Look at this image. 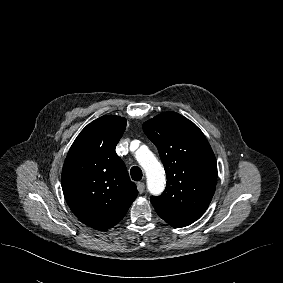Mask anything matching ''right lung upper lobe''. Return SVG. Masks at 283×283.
Masks as SVG:
<instances>
[{
  "instance_id": "obj_1",
  "label": "right lung upper lobe",
  "mask_w": 283,
  "mask_h": 283,
  "mask_svg": "<svg viewBox=\"0 0 283 283\" xmlns=\"http://www.w3.org/2000/svg\"><path fill=\"white\" fill-rule=\"evenodd\" d=\"M126 119L104 115L88 124L72 144L62 170V189L84 224L105 231L125 216L138 191L115 147Z\"/></svg>"
}]
</instances>
